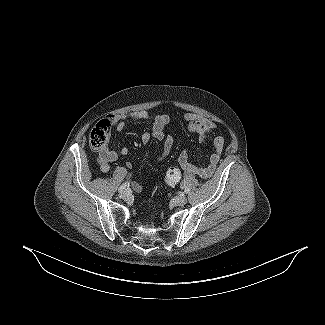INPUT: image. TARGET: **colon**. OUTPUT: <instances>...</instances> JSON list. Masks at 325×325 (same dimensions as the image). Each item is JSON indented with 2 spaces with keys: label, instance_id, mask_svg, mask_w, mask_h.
Returning <instances> with one entry per match:
<instances>
[{
  "label": "colon",
  "instance_id": "1",
  "mask_svg": "<svg viewBox=\"0 0 325 325\" xmlns=\"http://www.w3.org/2000/svg\"><path fill=\"white\" fill-rule=\"evenodd\" d=\"M112 123L109 119H103L96 124L89 135V145L93 150L100 151L108 143L111 136ZM181 179V172L177 167H170L165 173V182L175 185Z\"/></svg>",
  "mask_w": 325,
  "mask_h": 325
}]
</instances>
